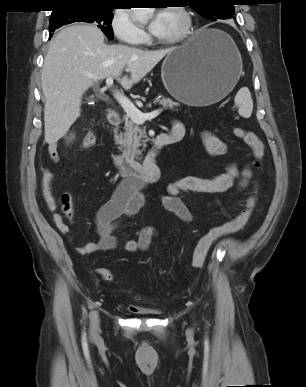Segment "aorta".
Returning a JSON list of instances; mask_svg holds the SVG:
<instances>
[{"label": "aorta", "instance_id": "762f6f07", "mask_svg": "<svg viewBox=\"0 0 306 387\" xmlns=\"http://www.w3.org/2000/svg\"><path fill=\"white\" fill-rule=\"evenodd\" d=\"M154 11L151 8H131L132 18L135 21L143 22L148 19L149 15Z\"/></svg>", "mask_w": 306, "mask_h": 387}]
</instances>
